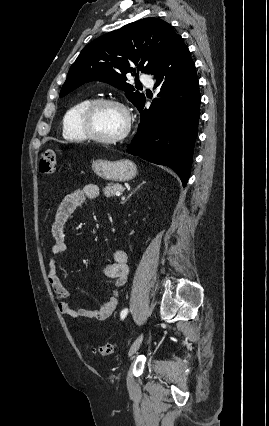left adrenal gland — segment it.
Masks as SVG:
<instances>
[{
	"label": "left adrenal gland",
	"mask_w": 269,
	"mask_h": 426,
	"mask_svg": "<svg viewBox=\"0 0 269 426\" xmlns=\"http://www.w3.org/2000/svg\"><path fill=\"white\" fill-rule=\"evenodd\" d=\"M143 184H145V181H143L139 186H137V188L133 192H131L122 203H125Z\"/></svg>",
	"instance_id": "1"
}]
</instances>
